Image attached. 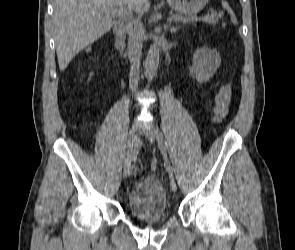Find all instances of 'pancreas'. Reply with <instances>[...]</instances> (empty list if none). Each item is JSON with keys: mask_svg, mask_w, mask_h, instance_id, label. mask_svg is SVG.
I'll return each instance as SVG.
<instances>
[{"mask_svg": "<svg viewBox=\"0 0 295 250\" xmlns=\"http://www.w3.org/2000/svg\"><path fill=\"white\" fill-rule=\"evenodd\" d=\"M174 16H176L178 18V20H183V21H186V22H189V21L193 20V18L184 19L180 15H174ZM205 20L210 24H213V25L217 24L218 23L217 12L216 11H211V15L208 16Z\"/></svg>", "mask_w": 295, "mask_h": 250, "instance_id": "obj_1", "label": "pancreas"}]
</instances>
